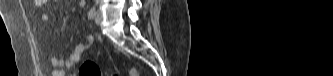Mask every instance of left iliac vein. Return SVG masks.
Segmentation results:
<instances>
[{
  "label": "left iliac vein",
  "instance_id": "4c4485c4",
  "mask_svg": "<svg viewBox=\"0 0 333 76\" xmlns=\"http://www.w3.org/2000/svg\"><path fill=\"white\" fill-rule=\"evenodd\" d=\"M102 20H103L102 12L100 10H97L95 12L94 21H95L96 24L99 25V24H101Z\"/></svg>",
  "mask_w": 333,
  "mask_h": 76
}]
</instances>
